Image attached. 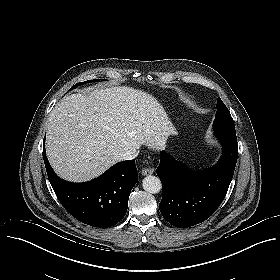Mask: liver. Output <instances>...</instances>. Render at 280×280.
Segmentation results:
<instances>
[{
	"instance_id": "obj_1",
	"label": "liver",
	"mask_w": 280,
	"mask_h": 280,
	"mask_svg": "<svg viewBox=\"0 0 280 280\" xmlns=\"http://www.w3.org/2000/svg\"><path fill=\"white\" fill-rule=\"evenodd\" d=\"M173 133L163 107L147 92L127 86L95 89L65 96L53 108L46 153L61 178L85 182L131 148L164 149Z\"/></svg>"
}]
</instances>
